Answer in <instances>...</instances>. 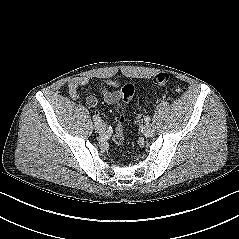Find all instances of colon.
Masks as SVG:
<instances>
[{
	"mask_svg": "<svg viewBox=\"0 0 239 239\" xmlns=\"http://www.w3.org/2000/svg\"><path fill=\"white\" fill-rule=\"evenodd\" d=\"M169 81H170L169 74L164 72H160L153 77V83L158 86H165L169 83ZM174 90L179 91V87L175 86ZM121 94L124 102L126 103L129 102L135 94L134 86L132 84L124 85L122 87ZM124 124L125 119L123 116H120L117 120L115 132L113 135V141L117 145H122L124 142Z\"/></svg>",
	"mask_w": 239,
	"mask_h": 239,
	"instance_id": "obj_1",
	"label": "colon"
}]
</instances>
